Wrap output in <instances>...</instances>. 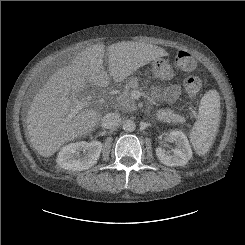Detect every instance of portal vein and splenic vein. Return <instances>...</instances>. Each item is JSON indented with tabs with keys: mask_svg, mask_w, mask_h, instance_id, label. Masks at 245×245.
<instances>
[{
	"mask_svg": "<svg viewBox=\"0 0 245 245\" xmlns=\"http://www.w3.org/2000/svg\"><path fill=\"white\" fill-rule=\"evenodd\" d=\"M133 96L138 95L139 92L138 91H133ZM71 101L73 103V107L70 110V113L67 116V119L70 120L73 117H75V115L81 111L83 108L88 107L91 102H89V100H79L78 98H76L74 95L71 96Z\"/></svg>",
	"mask_w": 245,
	"mask_h": 245,
	"instance_id": "18ae733b",
	"label": "portal vein and splenic vein"
}]
</instances>
